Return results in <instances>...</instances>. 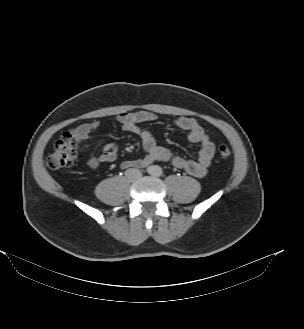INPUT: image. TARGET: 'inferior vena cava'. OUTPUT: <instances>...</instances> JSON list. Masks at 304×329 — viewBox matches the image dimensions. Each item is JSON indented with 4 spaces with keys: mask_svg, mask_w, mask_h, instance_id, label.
Listing matches in <instances>:
<instances>
[{
    "mask_svg": "<svg viewBox=\"0 0 304 329\" xmlns=\"http://www.w3.org/2000/svg\"><path fill=\"white\" fill-rule=\"evenodd\" d=\"M125 175L130 181H135L142 176V172L139 169L131 168L126 170Z\"/></svg>",
    "mask_w": 304,
    "mask_h": 329,
    "instance_id": "inferior-vena-cava-1",
    "label": "inferior vena cava"
}]
</instances>
